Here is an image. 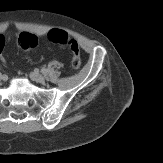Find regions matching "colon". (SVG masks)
I'll use <instances>...</instances> for the list:
<instances>
[{
	"label": "colon",
	"mask_w": 163,
	"mask_h": 163,
	"mask_svg": "<svg viewBox=\"0 0 163 163\" xmlns=\"http://www.w3.org/2000/svg\"><path fill=\"white\" fill-rule=\"evenodd\" d=\"M47 39L54 44L67 46L71 51L72 67L78 69L81 66L80 49L78 43L61 29H52L47 34ZM38 45V38L31 33L24 32L18 37V46L23 51H28ZM5 40L0 36V59H2Z\"/></svg>",
	"instance_id": "colon-1"
}]
</instances>
